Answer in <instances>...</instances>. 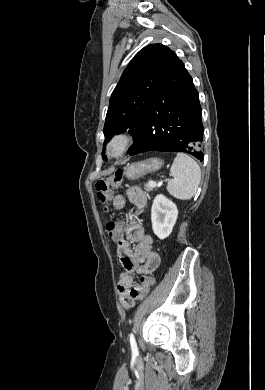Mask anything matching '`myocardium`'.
Segmentation results:
<instances>
[{
    "label": "myocardium",
    "instance_id": "myocardium-1",
    "mask_svg": "<svg viewBox=\"0 0 265 390\" xmlns=\"http://www.w3.org/2000/svg\"><path fill=\"white\" fill-rule=\"evenodd\" d=\"M133 135L128 131H121L114 134L107 143L106 152L109 158H121L131 147Z\"/></svg>",
    "mask_w": 265,
    "mask_h": 390
}]
</instances>
